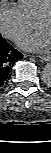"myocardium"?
Instances as JSON below:
<instances>
[{
	"mask_svg": "<svg viewBox=\"0 0 51 153\" xmlns=\"http://www.w3.org/2000/svg\"><path fill=\"white\" fill-rule=\"evenodd\" d=\"M45 19H51V6H49L48 8H46L38 14L34 21L36 27H39L40 23Z\"/></svg>",
	"mask_w": 51,
	"mask_h": 153,
	"instance_id": "myocardium-1",
	"label": "myocardium"
}]
</instances>
